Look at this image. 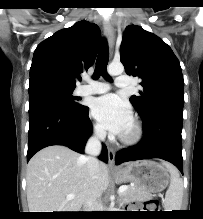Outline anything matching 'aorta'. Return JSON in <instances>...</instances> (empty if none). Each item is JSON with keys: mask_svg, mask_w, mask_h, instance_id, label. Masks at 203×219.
Listing matches in <instances>:
<instances>
[{"mask_svg": "<svg viewBox=\"0 0 203 219\" xmlns=\"http://www.w3.org/2000/svg\"><path fill=\"white\" fill-rule=\"evenodd\" d=\"M107 72L113 76L120 75L124 72V66L120 62H112L107 67Z\"/></svg>", "mask_w": 203, "mask_h": 219, "instance_id": "aorta-1", "label": "aorta"}]
</instances>
